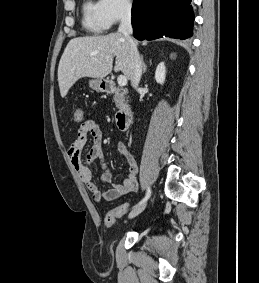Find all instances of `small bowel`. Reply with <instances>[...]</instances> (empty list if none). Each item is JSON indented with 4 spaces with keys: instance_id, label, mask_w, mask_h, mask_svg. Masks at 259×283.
Returning <instances> with one entry per match:
<instances>
[{
    "instance_id": "1",
    "label": "small bowel",
    "mask_w": 259,
    "mask_h": 283,
    "mask_svg": "<svg viewBox=\"0 0 259 283\" xmlns=\"http://www.w3.org/2000/svg\"><path fill=\"white\" fill-rule=\"evenodd\" d=\"M89 136L92 137V144L85 157L82 158V153ZM102 137L103 134L99 122L93 119L86 120L79 127L77 137L67 152L72 167L97 201L109 202L123 195L136 193L139 189V184L137 181L138 166L134 156L128 151L124 142L118 143L117 152L126 159L129 174L122 184L113 183V174L104 160ZM95 160H99L104 169L101 184H112L110 189L103 190L100 184L95 180L94 174L90 168V164Z\"/></svg>"
}]
</instances>
